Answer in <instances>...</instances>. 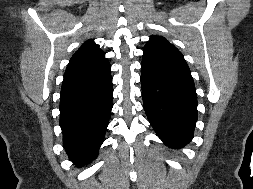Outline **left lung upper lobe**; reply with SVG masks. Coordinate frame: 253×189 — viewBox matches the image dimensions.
<instances>
[{
  "mask_svg": "<svg viewBox=\"0 0 253 189\" xmlns=\"http://www.w3.org/2000/svg\"><path fill=\"white\" fill-rule=\"evenodd\" d=\"M142 63L175 71L192 78L181 52L164 37L152 35L144 47Z\"/></svg>",
  "mask_w": 253,
  "mask_h": 189,
  "instance_id": "obj_1",
  "label": "left lung upper lobe"
}]
</instances>
